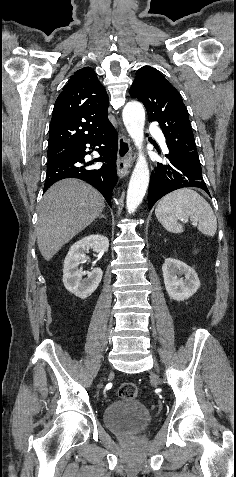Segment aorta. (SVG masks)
Segmentation results:
<instances>
[{"mask_svg": "<svg viewBox=\"0 0 236 477\" xmlns=\"http://www.w3.org/2000/svg\"><path fill=\"white\" fill-rule=\"evenodd\" d=\"M122 117L129 136L139 150L126 198L127 211L133 213L145 196L150 177L148 164L142 152L145 124V110L143 105L137 101H129L123 108Z\"/></svg>", "mask_w": 236, "mask_h": 477, "instance_id": "obj_1", "label": "aorta"}]
</instances>
